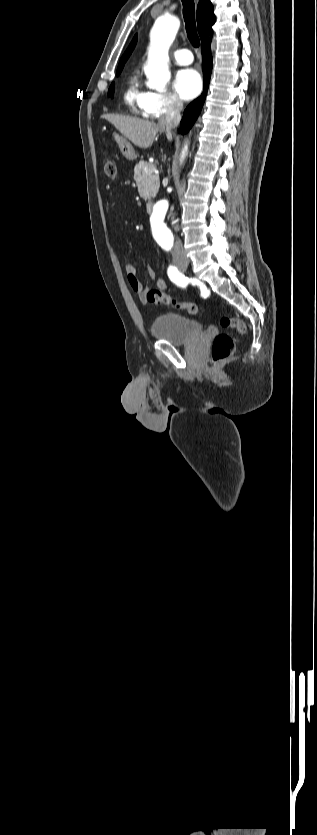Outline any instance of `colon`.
<instances>
[{"label":"colon","mask_w":317,"mask_h":835,"mask_svg":"<svg viewBox=\"0 0 317 835\" xmlns=\"http://www.w3.org/2000/svg\"><path fill=\"white\" fill-rule=\"evenodd\" d=\"M103 169L106 176L110 179H114L117 174L116 164L111 159H106L103 162ZM145 297L148 302L155 304V305H164V306H173L178 309H183L187 313L191 315L198 314V308L195 304L192 303H184L178 301L167 294H165L160 289H150L145 293ZM219 323L224 328H235L239 334H244L246 332V325L245 323L235 317L231 316H221L219 318ZM235 351V344L234 339L231 335L226 333L218 334L212 343L211 348V359L214 363H219L224 361L225 359L229 358L233 355Z\"/></svg>","instance_id":"colon-1"}]
</instances>
